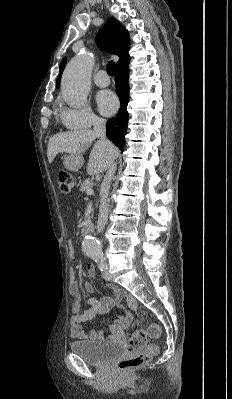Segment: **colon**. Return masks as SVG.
Listing matches in <instances>:
<instances>
[{"mask_svg":"<svg viewBox=\"0 0 232 399\" xmlns=\"http://www.w3.org/2000/svg\"><path fill=\"white\" fill-rule=\"evenodd\" d=\"M73 185L75 180L70 174L56 172V186H59V191L72 194ZM161 333L162 326H159L158 321H149L148 326H134L133 334H129V340H126V346H123V353H138V355L120 356V374H133V368L148 364L152 353L146 351V347H150V341H158Z\"/></svg>","mask_w":232,"mask_h":399,"instance_id":"5ec220e1","label":"colon"}]
</instances>
